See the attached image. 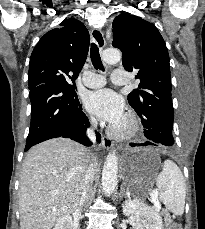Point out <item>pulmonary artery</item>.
Here are the masks:
<instances>
[{"label":"pulmonary artery","mask_w":205,"mask_h":229,"mask_svg":"<svg viewBox=\"0 0 205 229\" xmlns=\"http://www.w3.org/2000/svg\"><path fill=\"white\" fill-rule=\"evenodd\" d=\"M112 82L116 85L128 83V74L124 69L117 68L112 73ZM83 83L89 88H99L105 84V78L94 72H87L83 77Z\"/></svg>","instance_id":"1"}]
</instances>
